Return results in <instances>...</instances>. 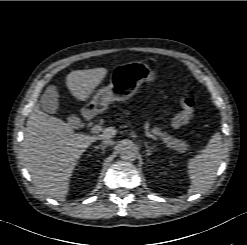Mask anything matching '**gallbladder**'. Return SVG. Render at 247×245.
<instances>
[{"instance_id": "1", "label": "gallbladder", "mask_w": 247, "mask_h": 245, "mask_svg": "<svg viewBox=\"0 0 247 245\" xmlns=\"http://www.w3.org/2000/svg\"><path fill=\"white\" fill-rule=\"evenodd\" d=\"M58 91L54 86H49L42 94L39 105L49 114H58L59 100Z\"/></svg>"}]
</instances>
